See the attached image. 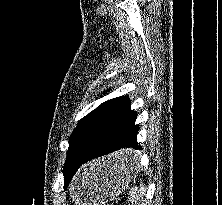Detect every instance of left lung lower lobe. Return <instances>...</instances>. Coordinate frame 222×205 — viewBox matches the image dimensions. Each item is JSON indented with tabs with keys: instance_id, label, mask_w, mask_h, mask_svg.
Listing matches in <instances>:
<instances>
[{
	"instance_id": "obj_1",
	"label": "left lung lower lobe",
	"mask_w": 222,
	"mask_h": 205,
	"mask_svg": "<svg viewBox=\"0 0 222 205\" xmlns=\"http://www.w3.org/2000/svg\"><path fill=\"white\" fill-rule=\"evenodd\" d=\"M131 101L124 96L113 108L98 133L88 153L79 160L70 163L71 175L64 183L66 188L76 171L85 163L120 150L115 154L114 163L133 164L136 160L132 155L133 150L141 149L137 143V132L139 127L135 125L136 112L130 109Z\"/></svg>"
}]
</instances>
